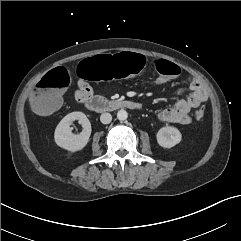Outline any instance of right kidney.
<instances>
[{
  "label": "right kidney",
  "instance_id": "ca27d5eb",
  "mask_svg": "<svg viewBox=\"0 0 241 241\" xmlns=\"http://www.w3.org/2000/svg\"><path fill=\"white\" fill-rule=\"evenodd\" d=\"M78 120L83 130L80 134H73L70 125ZM91 135V124L82 112H72L66 115L57 125L54 133L56 144L68 151L76 152L82 150L88 143Z\"/></svg>",
  "mask_w": 241,
  "mask_h": 241
}]
</instances>
